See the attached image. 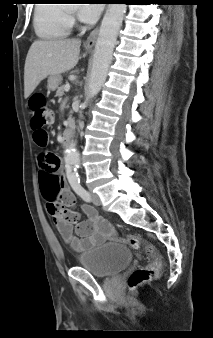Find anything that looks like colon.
Segmentation results:
<instances>
[{"label": "colon", "instance_id": "1", "mask_svg": "<svg viewBox=\"0 0 213 338\" xmlns=\"http://www.w3.org/2000/svg\"><path fill=\"white\" fill-rule=\"evenodd\" d=\"M29 107L32 111L31 126L34 130L33 139L35 144L44 148L49 142V135L44 129V126L50 125L53 121L52 111L47 106L46 98L43 94H35L29 100ZM46 156H43V161H40V172L46 181V191L53 194L58 186V178L56 176L57 168L50 167ZM60 205L57 201H52L47 204L48 212L54 217L58 213ZM65 218L70 222L77 221V215L74 212H67ZM55 220V219H54ZM133 249H142L148 256V263L129 277V286L131 288L140 287L151 281L159 272L160 262L155 248L147 243H144L137 236H126L122 239Z\"/></svg>", "mask_w": 213, "mask_h": 338}]
</instances>
